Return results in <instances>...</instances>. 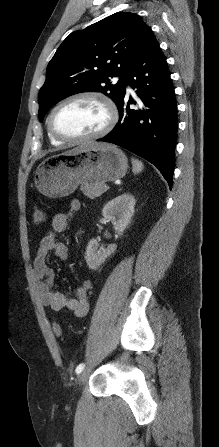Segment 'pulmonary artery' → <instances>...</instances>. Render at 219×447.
Instances as JSON below:
<instances>
[{"label": "pulmonary artery", "instance_id": "e3ab8cb5", "mask_svg": "<svg viewBox=\"0 0 219 447\" xmlns=\"http://www.w3.org/2000/svg\"><path fill=\"white\" fill-rule=\"evenodd\" d=\"M128 91H131V89H130V88H128Z\"/></svg>", "mask_w": 219, "mask_h": 447}]
</instances>
